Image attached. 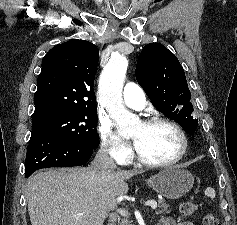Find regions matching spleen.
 Returning <instances> with one entry per match:
<instances>
[{"mask_svg":"<svg viewBox=\"0 0 237 225\" xmlns=\"http://www.w3.org/2000/svg\"><path fill=\"white\" fill-rule=\"evenodd\" d=\"M204 193L206 196H208L211 199L215 198V190L211 187L207 188Z\"/></svg>","mask_w":237,"mask_h":225,"instance_id":"spleen-1","label":"spleen"}]
</instances>
